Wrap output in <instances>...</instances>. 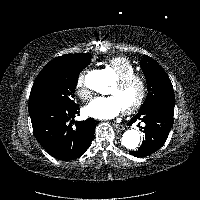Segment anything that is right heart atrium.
Instances as JSON below:
<instances>
[{
  "instance_id": "d8ad5b80",
  "label": "right heart atrium",
  "mask_w": 200,
  "mask_h": 200,
  "mask_svg": "<svg viewBox=\"0 0 200 200\" xmlns=\"http://www.w3.org/2000/svg\"><path fill=\"white\" fill-rule=\"evenodd\" d=\"M75 91L78 97L88 100L91 97V90L86 83V72H81L75 81Z\"/></svg>"
}]
</instances>
